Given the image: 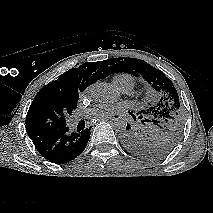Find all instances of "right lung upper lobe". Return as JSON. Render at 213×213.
Wrapping results in <instances>:
<instances>
[{
	"label": "right lung upper lobe",
	"instance_id": "cb5924a9",
	"mask_svg": "<svg viewBox=\"0 0 213 213\" xmlns=\"http://www.w3.org/2000/svg\"><path fill=\"white\" fill-rule=\"evenodd\" d=\"M100 62L84 63L78 68H73L61 74L56 80L47 84L39 93L60 92L64 94H77L84 91L87 86L98 79L108 76L102 70Z\"/></svg>",
	"mask_w": 213,
	"mask_h": 213
}]
</instances>
